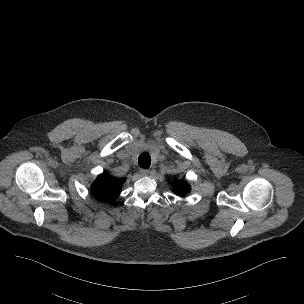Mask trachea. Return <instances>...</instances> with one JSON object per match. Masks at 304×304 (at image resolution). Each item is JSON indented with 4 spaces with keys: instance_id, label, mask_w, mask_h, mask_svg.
Segmentation results:
<instances>
[{
    "instance_id": "trachea-1",
    "label": "trachea",
    "mask_w": 304,
    "mask_h": 304,
    "mask_svg": "<svg viewBox=\"0 0 304 304\" xmlns=\"http://www.w3.org/2000/svg\"><path fill=\"white\" fill-rule=\"evenodd\" d=\"M138 164L142 168H149L151 164V157L148 153L144 152L142 153L138 158Z\"/></svg>"
}]
</instances>
